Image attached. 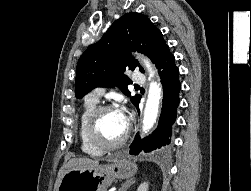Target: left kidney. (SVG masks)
Wrapping results in <instances>:
<instances>
[{"mask_svg": "<svg viewBox=\"0 0 251 191\" xmlns=\"http://www.w3.org/2000/svg\"><path fill=\"white\" fill-rule=\"evenodd\" d=\"M148 181H143V183H140L137 191H148Z\"/></svg>", "mask_w": 251, "mask_h": 191, "instance_id": "left-kidney-1", "label": "left kidney"}]
</instances>
